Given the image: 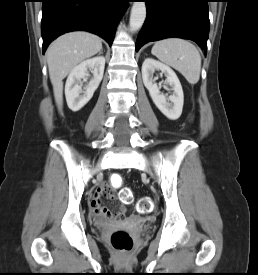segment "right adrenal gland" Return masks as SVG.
Wrapping results in <instances>:
<instances>
[{"label":"right adrenal gland","instance_id":"2a0ac1e0","mask_svg":"<svg viewBox=\"0 0 258 275\" xmlns=\"http://www.w3.org/2000/svg\"><path fill=\"white\" fill-rule=\"evenodd\" d=\"M99 54H102V50L99 52Z\"/></svg>","mask_w":258,"mask_h":275}]
</instances>
